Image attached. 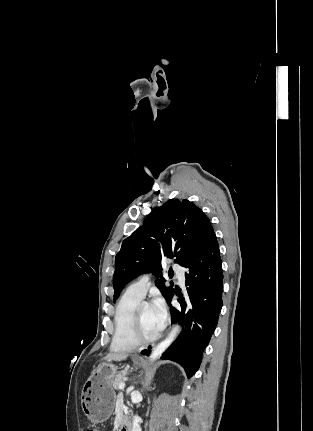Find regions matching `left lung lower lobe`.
Returning a JSON list of instances; mask_svg holds the SVG:
<instances>
[{"instance_id":"1","label":"left lung lower lobe","mask_w":313,"mask_h":431,"mask_svg":"<svg viewBox=\"0 0 313 431\" xmlns=\"http://www.w3.org/2000/svg\"><path fill=\"white\" fill-rule=\"evenodd\" d=\"M184 267L188 269L185 274L188 295L178 299L182 309L177 310L170 304L174 292L167 301L172 323L180 321L182 331L161 358L179 363L191 377L200 366L203 351L215 331L222 308L223 271L212 226L194 257ZM148 353L149 350L141 352Z\"/></svg>"}]
</instances>
